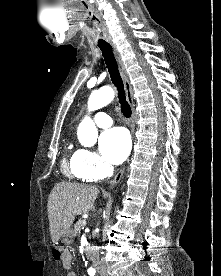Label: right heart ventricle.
Masks as SVG:
<instances>
[{
	"instance_id": "right-heart-ventricle-1",
	"label": "right heart ventricle",
	"mask_w": 221,
	"mask_h": 276,
	"mask_svg": "<svg viewBox=\"0 0 221 276\" xmlns=\"http://www.w3.org/2000/svg\"><path fill=\"white\" fill-rule=\"evenodd\" d=\"M62 166L65 174L74 179H84L79 165V151L67 150Z\"/></svg>"
}]
</instances>
